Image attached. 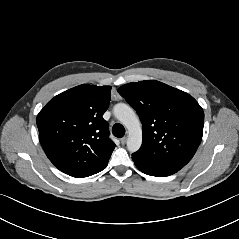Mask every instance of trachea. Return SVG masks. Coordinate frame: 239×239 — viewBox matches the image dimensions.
<instances>
[{
  "label": "trachea",
  "mask_w": 239,
  "mask_h": 239,
  "mask_svg": "<svg viewBox=\"0 0 239 239\" xmlns=\"http://www.w3.org/2000/svg\"><path fill=\"white\" fill-rule=\"evenodd\" d=\"M112 132L114 136L122 138L125 135V128L121 124L116 123L113 125Z\"/></svg>",
  "instance_id": "trachea-1"
}]
</instances>
